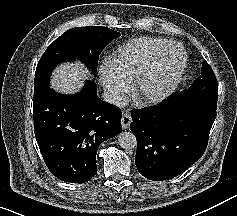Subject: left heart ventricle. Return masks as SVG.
Here are the masks:
<instances>
[{
    "label": "left heart ventricle",
    "mask_w": 237,
    "mask_h": 216,
    "mask_svg": "<svg viewBox=\"0 0 237 216\" xmlns=\"http://www.w3.org/2000/svg\"><path fill=\"white\" fill-rule=\"evenodd\" d=\"M182 64V55L177 50L157 61L153 70L143 81L141 93L154 95L173 82L179 73Z\"/></svg>",
    "instance_id": "obj_1"
}]
</instances>
